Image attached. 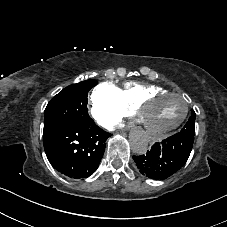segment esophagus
<instances>
[{"label": "esophagus", "mask_w": 227, "mask_h": 227, "mask_svg": "<svg viewBox=\"0 0 227 227\" xmlns=\"http://www.w3.org/2000/svg\"><path fill=\"white\" fill-rule=\"evenodd\" d=\"M146 144L149 149H152L154 147V145L156 144V141L154 139H148L146 141Z\"/></svg>", "instance_id": "1"}]
</instances>
